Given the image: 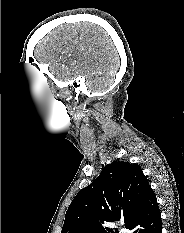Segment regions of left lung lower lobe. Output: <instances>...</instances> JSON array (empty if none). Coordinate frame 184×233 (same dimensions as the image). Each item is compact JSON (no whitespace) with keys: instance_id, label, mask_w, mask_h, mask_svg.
Returning a JSON list of instances; mask_svg holds the SVG:
<instances>
[{"instance_id":"1","label":"left lung lower lobe","mask_w":184,"mask_h":233,"mask_svg":"<svg viewBox=\"0 0 184 233\" xmlns=\"http://www.w3.org/2000/svg\"><path fill=\"white\" fill-rule=\"evenodd\" d=\"M132 233H162V220L153 190L149 191L128 228Z\"/></svg>"}]
</instances>
